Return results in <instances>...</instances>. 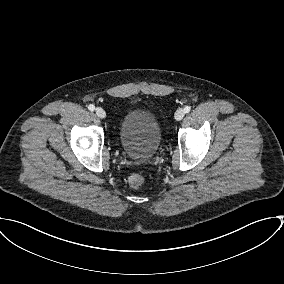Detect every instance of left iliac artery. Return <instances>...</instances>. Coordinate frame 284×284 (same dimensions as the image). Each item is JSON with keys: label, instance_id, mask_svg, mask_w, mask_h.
Masks as SVG:
<instances>
[{"label": "left iliac artery", "instance_id": "obj_1", "mask_svg": "<svg viewBox=\"0 0 284 284\" xmlns=\"http://www.w3.org/2000/svg\"><path fill=\"white\" fill-rule=\"evenodd\" d=\"M190 110H191V107H190V106H186V107L184 108V112H185V113L190 112Z\"/></svg>", "mask_w": 284, "mask_h": 284}]
</instances>
